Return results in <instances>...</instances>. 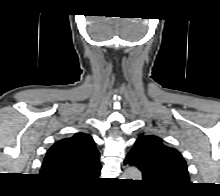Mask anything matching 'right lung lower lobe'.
<instances>
[{
	"label": "right lung lower lobe",
	"mask_w": 220,
	"mask_h": 196,
	"mask_svg": "<svg viewBox=\"0 0 220 196\" xmlns=\"http://www.w3.org/2000/svg\"><path fill=\"white\" fill-rule=\"evenodd\" d=\"M53 184H55V185H57V186H63V187H71V185H65V184H57V183H53Z\"/></svg>",
	"instance_id": "right-lung-lower-lobe-1"
}]
</instances>
